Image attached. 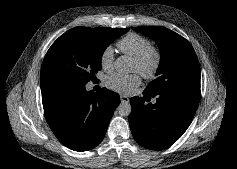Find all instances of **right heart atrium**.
<instances>
[{"label": "right heart atrium", "mask_w": 237, "mask_h": 169, "mask_svg": "<svg viewBox=\"0 0 237 169\" xmlns=\"http://www.w3.org/2000/svg\"><path fill=\"white\" fill-rule=\"evenodd\" d=\"M114 49L112 46H106L100 55V64L106 71H110L113 67Z\"/></svg>", "instance_id": "obj_1"}]
</instances>
